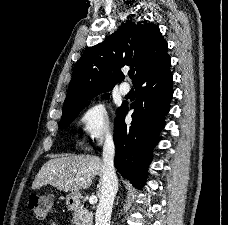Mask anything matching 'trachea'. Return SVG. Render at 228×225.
I'll use <instances>...</instances> for the list:
<instances>
[{"label":"trachea","mask_w":228,"mask_h":225,"mask_svg":"<svg viewBox=\"0 0 228 225\" xmlns=\"http://www.w3.org/2000/svg\"><path fill=\"white\" fill-rule=\"evenodd\" d=\"M128 74H129V77L132 78L133 75H134V70H130V71L128 72Z\"/></svg>","instance_id":"trachea-1"}]
</instances>
